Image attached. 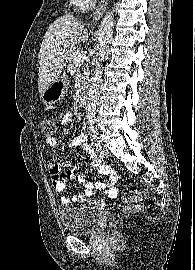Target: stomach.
Returning a JSON list of instances; mask_svg holds the SVG:
<instances>
[{
	"label": "stomach",
	"instance_id": "obj_1",
	"mask_svg": "<svg viewBox=\"0 0 195 270\" xmlns=\"http://www.w3.org/2000/svg\"><path fill=\"white\" fill-rule=\"evenodd\" d=\"M69 80L65 75L58 77L41 94L40 99L44 104H54L58 102L66 93Z\"/></svg>",
	"mask_w": 195,
	"mask_h": 270
}]
</instances>
